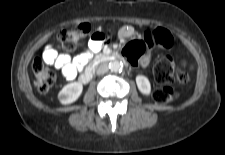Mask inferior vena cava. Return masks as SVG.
<instances>
[{
  "label": "inferior vena cava",
  "mask_w": 225,
  "mask_h": 155,
  "mask_svg": "<svg viewBox=\"0 0 225 155\" xmlns=\"http://www.w3.org/2000/svg\"><path fill=\"white\" fill-rule=\"evenodd\" d=\"M108 70H109L108 65L103 63L98 66L96 73H97V75H101V74L106 73Z\"/></svg>",
  "instance_id": "602c4592"
}]
</instances>
